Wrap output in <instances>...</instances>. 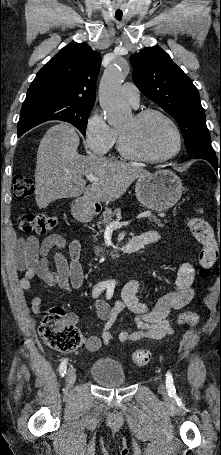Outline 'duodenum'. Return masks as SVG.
I'll use <instances>...</instances> for the list:
<instances>
[{"mask_svg":"<svg viewBox=\"0 0 221 455\" xmlns=\"http://www.w3.org/2000/svg\"><path fill=\"white\" fill-rule=\"evenodd\" d=\"M100 211V207L91 206L86 208V204H81L75 207L76 217L80 220H85L88 217V214H96ZM144 247V242H142L137 236L133 237L127 243H125L121 250L125 253H134Z\"/></svg>","mask_w":221,"mask_h":455,"instance_id":"1","label":"duodenum"}]
</instances>
